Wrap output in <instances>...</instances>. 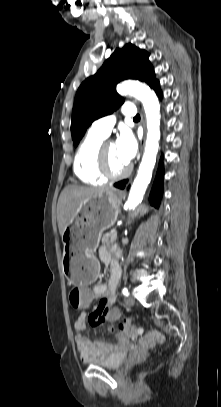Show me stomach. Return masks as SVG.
I'll use <instances>...</instances> for the list:
<instances>
[{
  "label": "stomach",
  "mask_w": 221,
  "mask_h": 407,
  "mask_svg": "<svg viewBox=\"0 0 221 407\" xmlns=\"http://www.w3.org/2000/svg\"><path fill=\"white\" fill-rule=\"evenodd\" d=\"M121 195L109 189L85 200L61 235L64 244L62 269L74 283H93L99 273L94 253L103 231L117 220Z\"/></svg>",
  "instance_id": "0dacf381"
}]
</instances>
